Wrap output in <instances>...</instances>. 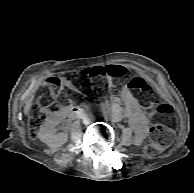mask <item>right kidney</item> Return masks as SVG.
Segmentation results:
<instances>
[{"label":"right kidney","mask_w":194,"mask_h":193,"mask_svg":"<svg viewBox=\"0 0 194 193\" xmlns=\"http://www.w3.org/2000/svg\"><path fill=\"white\" fill-rule=\"evenodd\" d=\"M60 122L61 118L56 113H53L46 118L39 129V139L51 148L60 147L68 140V135L66 133H56V126H58Z\"/></svg>","instance_id":"1"}]
</instances>
